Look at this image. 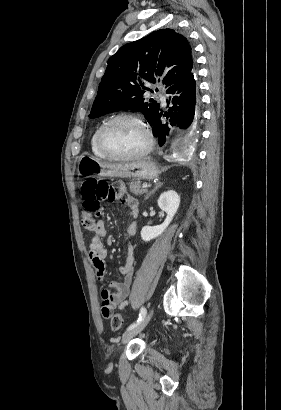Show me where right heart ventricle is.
<instances>
[{
	"label": "right heart ventricle",
	"mask_w": 281,
	"mask_h": 410,
	"mask_svg": "<svg viewBox=\"0 0 281 410\" xmlns=\"http://www.w3.org/2000/svg\"><path fill=\"white\" fill-rule=\"evenodd\" d=\"M101 125L97 126L90 138V149L92 153L99 158L107 159V157L99 150L97 146V133Z\"/></svg>",
	"instance_id": "right-heart-ventricle-1"
}]
</instances>
